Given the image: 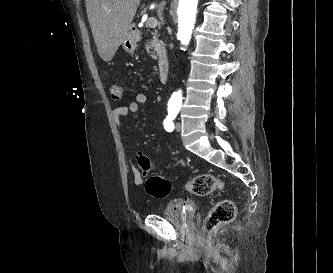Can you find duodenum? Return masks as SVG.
<instances>
[{"instance_id": "duodenum-1", "label": "duodenum", "mask_w": 333, "mask_h": 273, "mask_svg": "<svg viewBox=\"0 0 333 273\" xmlns=\"http://www.w3.org/2000/svg\"><path fill=\"white\" fill-rule=\"evenodd\" d=\"M131 30L135 34H137L139 31V29L136 26H132ZM158 67H159V79L162 83H165L168 79L169 70H170L169 58L165 55H161L158 61Z\"/></svg>"}]
</instances>
